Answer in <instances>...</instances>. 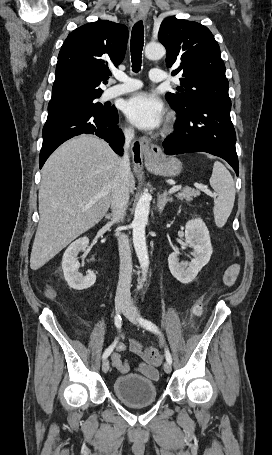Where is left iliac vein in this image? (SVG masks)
I'll return each instance as SVG.
<instances>
[{
	"label": "left iliac vein",
	"instance_id": "4c4485c4",
	"mask_svg": "<svg viewBox=\"0 0 272 455\" xmlns=\"http://www.w3.org/2000/svg\"><path fill=\"white\" fill-rule=\"evenodd\" d=\"M123 314L128 318L132 323L138 325L139 324V311L133 307L129 302H126V305L123 309ZM164 371L166 373H170L172 370L171 364L169 362L164 363Z\"/></svg>",
	"mask_w": 272,
	"mask_h": 455
}]
</instances>
